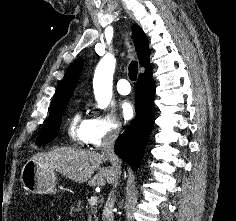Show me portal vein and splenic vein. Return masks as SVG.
Segmentation results:
<instances>
[{"label": "portal vein and splenic vein", "instance_id": "18ae733b", "mask_svg": "<svg viewBox=\"0 0 236 221\" xmlns=\"http://www.w3.org/2000/svg\"><path fill=\"white\" fill-rule=\"evenodd\" d=\"M88 201H89L90 205L94 206L98 203V197L97 196H91Z\"/></svg>", "mask_w": 236, "mask_h": 221}]
</instances>
